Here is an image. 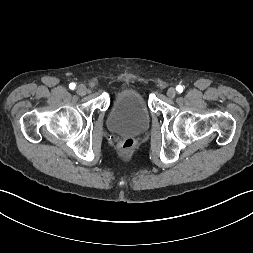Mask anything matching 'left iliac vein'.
Segmentation results:
<instances>
[{
	"instance_id": "obj_1",
	"label": "left iliac vein",
	"mask_w": 253,
	"mask_h": 253,
	"mask_svg": "<svg viewBox=\"0 0 253 253\" xmlns=\"http://www.w3.org/2000/svg\"><path fill=\"white\" fill-rule=\"evenodd\" d=\"M167 96L169 98H174L176 96V90L175 88L173 87H170L168 90H167Z\"/></svg>"
}]
</instances>
